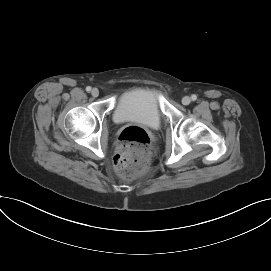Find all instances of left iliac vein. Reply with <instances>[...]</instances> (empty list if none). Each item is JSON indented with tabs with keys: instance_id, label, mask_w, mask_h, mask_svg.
<instances>
[{
	"instance_id": "4c4485c4",
	"label": "left iliac vein",
	"mask_w": 271,
	"mask_h": 271,
	"mask_svg": "<svg viewBox=\"0 0 271 271\" xmlns=\"http://www.w3.org/2000/svg\"><path fill=\"white\" fill-rule=\"evenodd\" d=\"M191 102V98L189 96H185L182 98V104L183 105H189Z\"/></svg>"
}]
</instances>
